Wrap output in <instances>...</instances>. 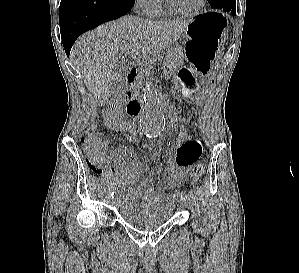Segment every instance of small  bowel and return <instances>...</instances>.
Segmentation results:
<instances>
[{"label":"small bowel","mask_w":299,"mask_h":273,"mask_svg":"<svg viewBox=\"0 0 299 273\" xmlns=\"http://www.w3.org/2000/svg\"><path fill=\"white\" fill-rule=\"evenodd\" d=\"M105 125L115 131L125 132V138L133 141L137 137V128L134 123L123 119L121 112L110 108L104 115ZM202 154L201 144L191 137L184 142L173 146V153L167 160V185L174 187L188 172L189 168L199 160ZM135 158V154L127 147L122 146L117 151H110L106 159L114 163L115 187L120 195L121 208L139 215H150L161 208H172L178 197L177 194L164 196L153 187H147V181H139L141 163L138 161L129 164H118L115 158ZM130 186V189L126 187Z\"/></svg>","instance_id":"c3829d8e"}]
</instances>
